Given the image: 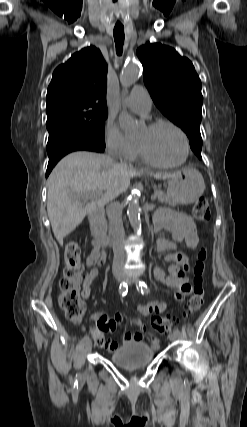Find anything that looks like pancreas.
Instances as JSON below:
<instances>
[{"mask_svg": "<svg viewBox=\"0 0 247 427\" xmlns=\"http://www.w3.org/2000/svg\"><path fill=\"white\" fill-rule=\"evenodd\" d=\"M155 194H156V198L158 199V201L160 203H165V204H169V205H176V203L171 200L165 193H163L160 190H155Z\"/></svg>", "mask_w": 247, "mask_h": 427, "instance_id": "pancreas-1", "label": "pancreas"}]
</instances>
